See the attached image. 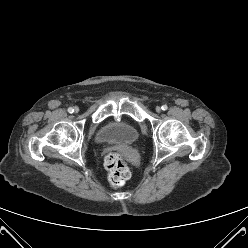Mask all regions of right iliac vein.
Returning a JSON list of instances; mask_svg holds the SVG:
<instances>
[{"mask_svg": "<svg viewBox=\"0 0 248 248\" xmlns=\"http://www.w3.org/2000/svg\"><path fill=\"white\" fill-rule=\"evenodd\" d=\"M78 112H79V108L75 107V113H78Z\"/></svg>", "mask_w": 248, "mask_h": 248, "instance_id": "1", "label": "right iliac vein"}]
</instances>
